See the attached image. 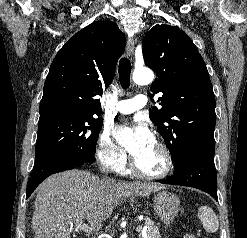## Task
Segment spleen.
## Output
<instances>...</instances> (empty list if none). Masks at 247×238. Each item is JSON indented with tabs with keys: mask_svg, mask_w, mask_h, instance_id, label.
Returning a JSON list of instances; mask_svg holds the SVG:
<instances>
[{
	"mask_svg": "<svg viewBox=\"0 0 247 238\" xmlns=\"http://www.w3.org/2000/svg\"><path fill=\"white\" fill-rule=\"evenodd\" d=\"M198 218L203 223V227L207 232L214 233L218 230V218L209 206H202L199 208Z\"/></svg>",
	"mask_w": 247,
	"mask_h": 238,
	"instance_id": "3e777b00",
	"label": "spleen"
}]
</instances>
